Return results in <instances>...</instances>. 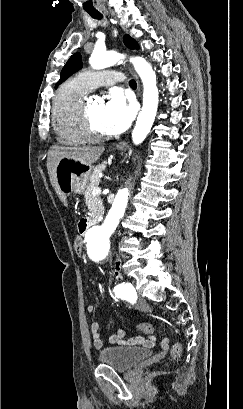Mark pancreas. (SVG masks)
I'll use <instances>...</instances> for the list:
<instances>
[{
	"label": "pancreas",
	"mask_w": 243,
	"mask_h": 409,
	"mask_svg": "<svg viewBox=\"0 0 243 409\" xmlns=\"http://www.w3.org/2000/svg\"><path fill=\"white\" fill-rule=\"evenodd\" d=\"M106 168L105 164H100L89 176V183L85 190V201L86 205L91 211L90 216L92 218H99L104 213L103 202L99 196H93L92 192L95 187H98L100 183L99 173L104 171Z\"/></svg>",
	"instance_id": "obj_1"
}]
</instances>
